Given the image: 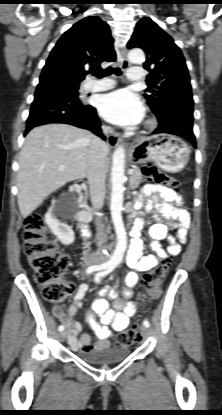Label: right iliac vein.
<instances>
[{"mask_svg": "<svg viewBox=\"0 0 222 415\" xmlns=\"http://www.w3.org/2000/svg\"><path fill=\"white\" fill-rule=\"evenodd\" d=\"M66 336H67V331H62L59 334V338H60L61 341H64L66 339Z\"/></svg>", "mask_w": 222, "mask_h": 415, "instance_id": "63e3f726", "label": "right iliac vein"}]
</instances>
